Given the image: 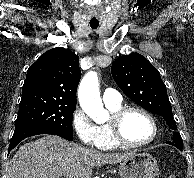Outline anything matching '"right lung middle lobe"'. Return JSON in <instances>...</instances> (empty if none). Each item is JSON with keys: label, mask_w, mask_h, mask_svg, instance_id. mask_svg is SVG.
Returning a JSON list of instances; mask_svg holds the SVG:
<instances>
[{"label": "right lung middle lobe", "mask_w": 194, "mask_h": 178, "mask_svg": "<svg viewBox=\"0 0 194 178\" xmlns=\"http://www.w3.org/2000/svg\"><path fill=\"white\" fill-rule=\"evenodd\" d=\"M76 103L63 99L39 97L21 100L15 130L44 127L59 133L73 134L72 116Z\"/></svg>", "instance_id": "right-lung-middle-lobe-1"}]
</instances>
